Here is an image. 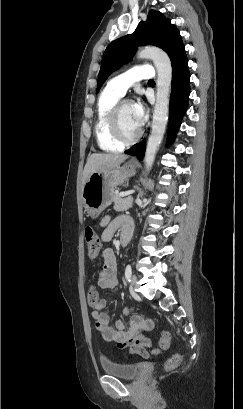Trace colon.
<instances>
[{
    "label": "colon",
    "instance_id": "colon-1",
    "mask_svg": "<svg viewBox=\"0 0 243 409\" xmlns=\"http://www.w3.org/2000/svg\"><path fill=\"white\" fill-rule=\"evenodd\" d=\"M84 238L88 249V254L90 257H95L101 250V241L98 234L94 231V229L90 226H87L84 230ZM88 303L91 306H95L99 302V294L98 292L91 288L88 292ZM171 341V336L167 332H163L161 334V338L159 341V349L166 350L168 349ZM182 356L180 354H173L170 356L166 363L165 369L166 370H173L179 366L181 362Z\"/></svg>",
    "mask_w": 243,
    "mask_h": 409
}]
</instances>
